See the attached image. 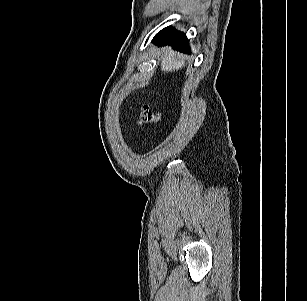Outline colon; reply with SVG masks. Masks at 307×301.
<instances>
[{
    "mask_svg": "<svg viewBox=\"0 0 307 301\" xmlns=\"http://www.w3.org/2000/svg\"><path fill=\"white\" fill-rule=\"evenodd\" d=\"M159 115L150 108H144L141 112L139 122L143 125H151L158 121Z\"/></svg>",
    "mask_w": 307,
    "mask_h": 301,
    "instance_id": "5ec220e1",
    "label": "colon"
}]
</instances>
